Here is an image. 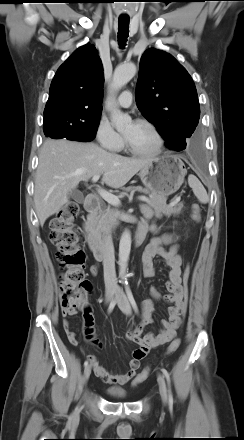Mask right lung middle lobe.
<instances>
[{
    "label": "right lung middle lobe",
    "instance_id": "1",
    "mask_svg": "<svg viewBox=\"0 0 244 440\" xmlns=\"http://www.w3.org/2000/svg\"><path fill=\"white\" fill-rule=\"evenodd\" d=\"M99 120L87 124H78L72 121L48 120L44 121V134L52 139L66 138L74 141H91L95 138Z\"/></svg>",
    "mask_w": 244,
    "mask_h": 440
}]
</instances>
